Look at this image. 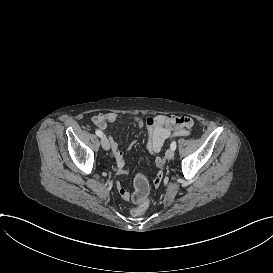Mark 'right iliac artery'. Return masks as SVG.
Returning <instances> with one entry per match:
<instances>
[{"label": "right iliac artery", "mask_w": 273, "mask_h": 273, "mask_svg": "<svg viewBox=\"0 0 273 273\" xmlns=\"http://www.w3.org/2000/svg\"><path fill=\"white\" fill-rule=\"evenodd\" d=\"M95 133H96L97 136L103 137V132H102V131H100V130L97 129V130L95 131Z\"/></svg>", "instance_id": "82829eb1"}]
</instances>
